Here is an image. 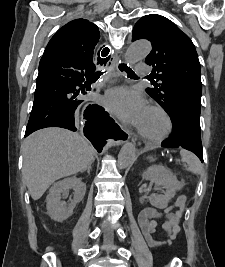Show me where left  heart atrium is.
<instances>
[{"instance_id": "39dd6f15", "label": "left heart atrium", "mask_w": 225, "mask_h": 267, "mask_svg": "<svg viewBox=\"0 0 225 267\" xmlns=\"http://www.w3.org/2000/svg\"><path fill=\"white\" fill-rule=\"evenodd\" d=\"M105 104L120 119L137 128L147 110L143 95L128 87L110 90L105 97Z\"/></svg>"}]
</instances>
